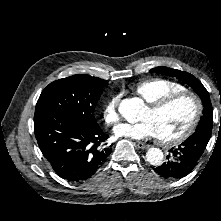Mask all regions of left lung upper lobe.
Instances as JSON below:
<instances>
[{
	"label": "left lung upper lobe",
	"mask_w": 221,
	"mask_h": 221,
	"mask_svg": "<svg viewBox=\"0 0 221 221\" xmlns=\"http://www.w3.org/2000/svg\"><path fill=\"white\" fill-rule=\"evenodd\" d=\"M150 71L167 76L176 77L181 81H183L184 83H186L187 85H189L199 95V97L203 102L204 109H203V116L200 119V122L197 126L195 133H200V132L211 133L212 124H213V109L209 93L202 85V83L190 73L183 72L177 69H171L168 67L160 66L153 68Z\"/></svg>",
	"instance_id": "1"
}]
</instances>
